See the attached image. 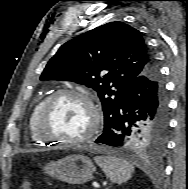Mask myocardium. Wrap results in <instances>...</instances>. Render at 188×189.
<instances>
[{"mask_svg": "<svg viewBox=\"0 0 188 189\" xmlns=\"http://www.w3.org/2000/svg\"><path fill=\"white\" fill-rule=\"evenodd\" d=\"M66 96L76 97L86 102L92 116L90 126L83 135L72 139H64V138L49 136L45 132V120L47 118V115L49 114L54 102ZM100 123H101V113L95 101L89 94L74 89H61L51 94L44 101L36 118L35 132L37 137L45 143L51 142V143H58L63 146H74L84 143L87 140L91 139L98 132Z\"/></svg>", "mask_w": 188, "mask_h": 189, "instance_id": "f54148a6", "label": "myocardium"}]
</instances>
